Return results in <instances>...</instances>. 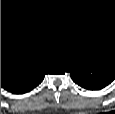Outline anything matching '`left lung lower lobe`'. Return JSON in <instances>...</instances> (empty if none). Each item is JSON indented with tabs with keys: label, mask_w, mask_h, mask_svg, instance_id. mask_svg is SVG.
<instances>
[{
	"label": "left lung lower lobe",
	"mask_w": 115,
	"mask_h": 114,
	"mask_svg": "<svg viewBox=\"0 0 115 114\" xmlns=\"http://www.w3.org/2000/svg\"><path fill=\"white\" fill-rule=\"evenodd\" d=\"M70 76L82 88L101 90L115 80V69L98 60H87L80 62Z\"/></svg>",
	"instance_id": "0a47b994"
}]
</instances>
